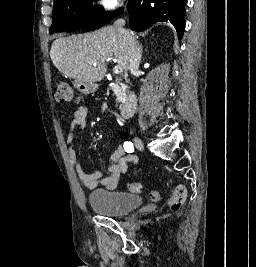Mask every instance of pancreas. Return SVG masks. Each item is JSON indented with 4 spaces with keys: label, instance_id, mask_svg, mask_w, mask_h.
<instances>
[{
    "label": "pancreas",
    "instance_id": "1",
    "mask_svg": "<svg viewBox=\"0 0 256 267\" xmlns=\"http://www.w3.org/2000/svg\"><path fill=\"white\" fill-rule=\"evenodd\" d=\"M111 90H113L114 96H116V100H115L116 104H118V102H121V106H123L122 100H125L126 96L122 90V84L120 80H118L117 84H114V86H111Z\"/></svg>",
    "mask_w": 256,
    "mask_h": 267
}]
</instances>
